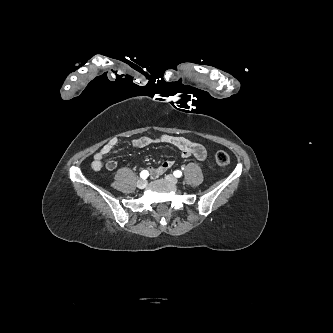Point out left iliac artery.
<instances>
[{
	"mask_svg": "<svg viewBox=\"0 0 333 333\" xmlns=\"http://www.w3.org/2000/svg\"><path fill=\"white\" fill-rule=\"evenodd\" d=\"M173 174L175 177H178V178L182 176V172L180 170L174 171Z\"/></svg>",
	"mask_w": 333,
	"mask_h": 333,
	"instance_id": "44dca946",
	"label": "left iliac artery"
}]
</instances>
